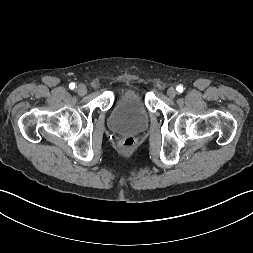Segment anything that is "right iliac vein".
Listing matches in <instances>:
<instances>
[{"label":"right iliac vein","instance_id":"obj_1","mask_svg":"<svg viewBox=\"0 0 253 253\" xmlns=\"http://www.w3.org/2000/svg\"><path fill=\"white\" fill-rule=\"evenodd\" d=\"M76 91L80 96H83L87 93V88L85 85L80 84L77 86Z\"/></svg>","mask_w":253,"mask_h":253}]
</instances>
